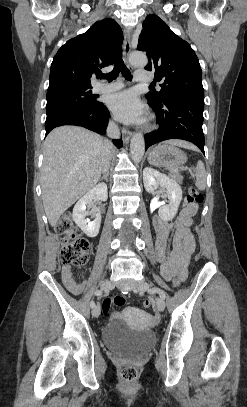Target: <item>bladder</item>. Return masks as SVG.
I'll use <instances>...</instances> for the list:
<instances>
[{
    "mask_svg": "<svg viewBox=\"0 0 247 407\" xmlns=\"http://www.w3.org/2000/svg\"><path fill=\"white\" fill-rule=\"evenodd\" d=\"M102 339L114 353L137 357L155 345L156 335L150 328H132L120 316H115L104 325Z\"/></svg>",
    "mask_w": 247,
    "mask_h": 407,
    "instance_id": "obj_1",
    "label": "bladder"
}]
</instances>
